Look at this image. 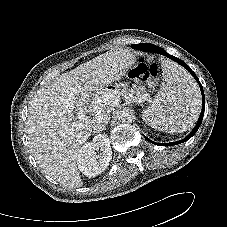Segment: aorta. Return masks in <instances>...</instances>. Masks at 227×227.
I'll return each instance as SVG.
<instances>
[{
	"label": "aorta",
	"instance_id": "1",
	"mask_svg": "<svg viewBox=\"0 0 227 227\" xmlns=\"http://www.w3.org/2000/svg\"><path fill=\"white\" fill-rule=\"evenodd\" d=\"M117 117L119 121L129 123L134 118V112L130 108H123L118 111Z\"/></svg>",
	"mask_w": 227,
	"mask_h": 227
}]
</instances>
